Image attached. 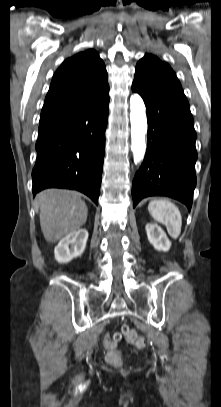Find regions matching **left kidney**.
<instances>
[{"label":"left kidney","instance_id":"5707ae66","mask_svg":"<svg viewBox=\"0 0 221 407\" xmlns=\"http://www.w3.org/2000/svg\"><path fill=\"white\" fill-rule=\"evenodd\" d=\"M145 229L149 242L156 250L166 252L170 249L171 242L158 224L148 223Z\"/></svg>","mask_w":221,"mask_h":407}]
</instances>
